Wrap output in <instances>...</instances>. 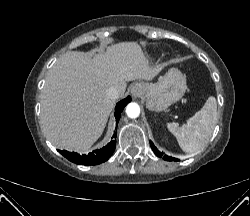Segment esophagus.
I'll use <instances>...</instances> for the list:
<instances>
[{
	"instance_id": "34e87169",
	"label": "esophagus",
	"mask_w": 250,
	"mask_h": 216,
	"mask_svg": "<svg viewBox=\"0 0 250 216\" xmlns=\"http://www.w3.org/2000/svg\"><path fill=\"white\" fill-rule=\"evenodd\" d=\"M132 95L134 97H139L142 93V86L141 84H135L131 89Z\"/></svg>"
}]
</instances>
